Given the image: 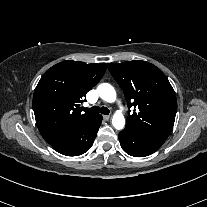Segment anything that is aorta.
I'll return each instance as SVG.
<instances>
[{
	"mask_svg": "<svg viewBox=\"0 0 207 207\" xmlns=\"http://www.w3.org/2000/svg\"><path fill=\"white\" fill-rule=\"evenodd\" d=\"M98 93L101 99L106 102L112 103L116 100V92L112 85L102 83L98 86ZM112 125L115 129L121 130L125 126V118L120 111H117L112 118Z\"/></svg>",
	"mask_w": 207,
	"mask_h": 207,
	"instance_id": "aorta-1",
	"label": "aorta"
}]
</instances>
